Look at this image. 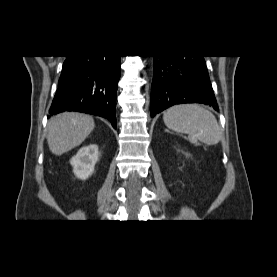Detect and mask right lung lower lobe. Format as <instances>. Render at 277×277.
I'll return each instance as SVG.
<instances>
[{
  "label": "right lung lower lobe",
  "instance_id": "98d812e1",
  "mask_svg": "<svg viewBox=\"0 0 277 277\" xmlns=\"http://www.w3.org/2000/svg\"><path fill=\"white\" fill-rule=\"evenodd\" d=\"M120 56H67L50 115L78 111L107 118L116 128Z\"/></svg>",
  "mask_w": 277,
  "mask_h": 277
}]
</instances>
